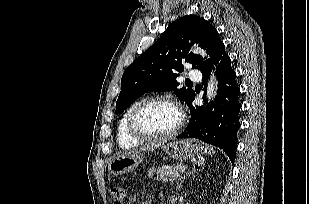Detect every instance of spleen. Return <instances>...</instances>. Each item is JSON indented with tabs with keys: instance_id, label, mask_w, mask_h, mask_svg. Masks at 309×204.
Wrapping results in <instances>:
<instances>
[{
	"instance_id": "3e777b00",
	"label": "spleen",
	"mask_w": 309,
	"mask_h": 204,
	"mask_svg": "<svg viewBox=\"0 0 309 204\" xmlns=\"http://www.w3.org/2000/svg\"><path fill=\"white\" fill-rule=\"evenodd\" d=\"M204 153L208 155H213L215 153L214 149L212 147L206 146L204 149Z\"/></svg>"
}]
</instances>
